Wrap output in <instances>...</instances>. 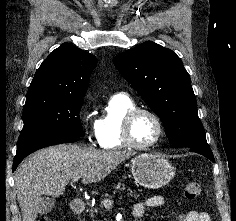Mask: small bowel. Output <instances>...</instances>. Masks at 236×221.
Here are the masks:
<instances>
[{
    "label": "small bowel",
    "mask_w": 236,
    "mask_h": 221,
    "mask_svg": "<svg viewBox=\"0 0 236 221\" xmlns=\"http://www.w3.org/2000/svg\"><path fill=\"white\" fill-rule=\"evenodd\" d=\"M167 199L163 196H154L135 204L133 214L135 217H142L149 208H158L167 203ZM177 221H211L208 213L204 211L192 210L179 214Z\"/></svg>",
    "instance_id": "obj_1"
}]
</instances>
